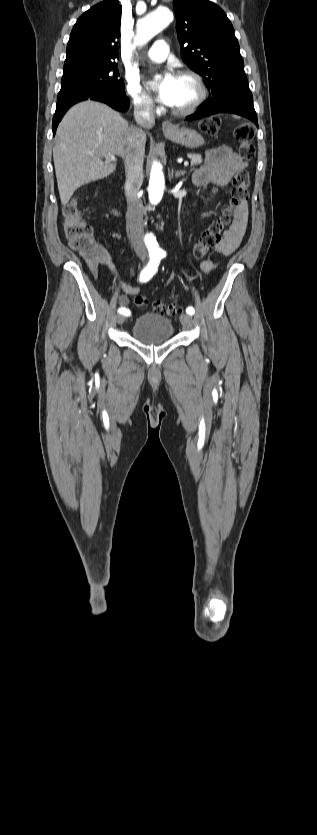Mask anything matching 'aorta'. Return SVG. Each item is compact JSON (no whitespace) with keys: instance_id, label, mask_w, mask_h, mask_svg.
Wrapping results in <instances>:
<instances>
[{"instance_id":"762f6f07","label":"aorta","mask_w":317,"mask_h":835,"mask_svg":"<svg viewBox=\"0 0 317 835\" xmlns=\"http://www.w3.org/2000/svg\"><path fill=\"white\" fill-rule=\"evenodd\" d=\"M173 20V12L167 7H159L139 20L134 43L143 46L157 35L166 25ZM165 178L162 166L154 161L149 179V200L151 204H157L163 197ZM150 243L155 246L156 240L153 234H149Z\"/></svg>"}]
</instances>
